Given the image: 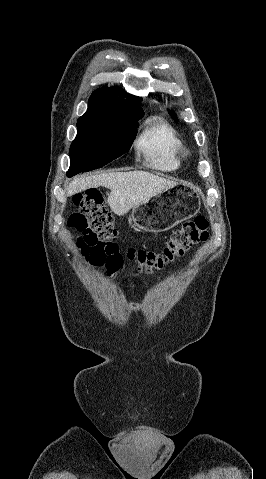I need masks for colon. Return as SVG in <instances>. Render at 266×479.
Listing matches in <instances>:
<instances>
[{"label": "colon", "instance_id": "1", "mask_svg": "<svg viewBox=\"0 0 266 479\" xmlns=\"http://www.w3.org/2000/svg\"><path fill=\"white\" fill-rule=\"evenodd\" d=\"M77 210L69 217V227L77 233L76 244L94 268L116 273L124 257L144 272L162 270L174 263L195 244L209 239L208 220L199 216L175 230L160 252L129 248L124 253L117 243L118 231L101 192L88 189L73 199Z\"/></svg>", "mask_w": 266, "mask_h": 479}]
</instances>
